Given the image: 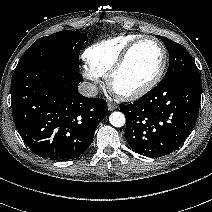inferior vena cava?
<instances>
[{
  "label": "inferior vena cava",
  "instance_id": "602c4592",
  "mask_svg": "<svg viewBox=\"0 0 212 212\" xmlns=\"http://www.w3.org/2000/svg\"><path fill=\"white\" fill-rule=\"evenodd\" d=\"M79 92L85 97H95L98 94L97 87L89 82H81L79 84Z\"/></svg>",
  "mask_w": 212,
  "mask_h": 212
}]
</instances>
